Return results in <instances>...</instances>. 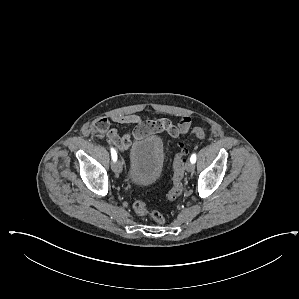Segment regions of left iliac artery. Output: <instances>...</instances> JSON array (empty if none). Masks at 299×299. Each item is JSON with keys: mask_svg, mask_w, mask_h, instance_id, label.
<instances>
[{"mask_svg": "<svg viewBox=\"0 0 299 299\" xmlns=\"http://www.w3.org/2000/svg\"><path fill=\"white\" fill-rule=\"evenodd\" d=\"M190 161H191L193 164L196 162V154H195V153H193V154L191 155Z\"/></svg>", "mask_w": 299, "mask_h": 299, "instance_id": "obj_1", "label": "left iliac artery"}]
</instances>
